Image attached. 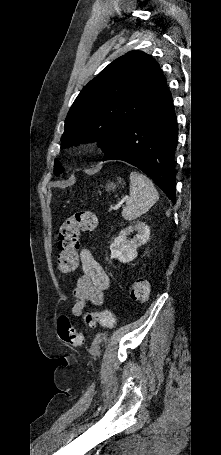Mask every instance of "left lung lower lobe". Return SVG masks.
Returning a JSON list of instances; mask_svg holds the SVG:
<instances>
[{
  "label": "left lung lower lobe",
  "instance_id": "0a47b994",
  "mask_svg": "<svg viewBox=\"0 0 221 455\" xmlns=\"http://www.w3.org/2000/svg\"><path fill=\"white\" fill-rule=\"evenodd\" d=\"M178 126L168 89L146 111L130 122L105 152L103 161H126L147 174L176 202L174 153Z\"/></svg>",
  "mask_w": 221,
  "mask_h": 455
}]
</instances>
